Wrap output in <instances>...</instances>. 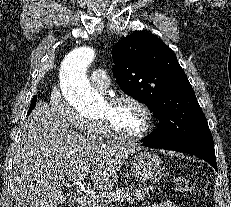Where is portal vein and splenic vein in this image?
Returning <instances> with one entry per match:
<instances>
[{
  "mask_svg": "<svg viewBox=\"0 0 231 207\" xmlns=\"http://www.w3.org/2000/svg\"><path fill=\"white\" fill-rule=\"evenodd\" d=\"M63 181H65V180H63ZM73 186L78 187L79 189H81L84 192H88V190H86V187L84 186V184L82 183V181H75L73 183Z\"/></svg>",
  "mask_w": 231,
  "mask_h": 207,
  "instance_id": "obj_1",
  "label": "portal vein and splenic vein"
}]
</instances>
